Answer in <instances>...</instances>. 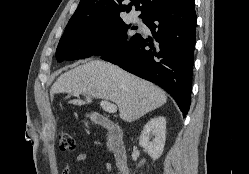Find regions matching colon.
Masks as SVG:
<instances>
[{
  "instance_id": "1",
  "label": "colon",
  "mask_w": 249,
  "mask_h": 174,
  "mask_svg": "<svg viewBox=\"0 0 249 174\" xmlns=\"http://www.w3.org/2000/svg\"><path fill=\"white\" fill-rule=\"evenodd\" d=\"M58 139L62 150H73L75 148L74 138L67 130H60L58 133Z\"/></svg>"
}]
</instances>
